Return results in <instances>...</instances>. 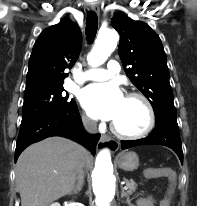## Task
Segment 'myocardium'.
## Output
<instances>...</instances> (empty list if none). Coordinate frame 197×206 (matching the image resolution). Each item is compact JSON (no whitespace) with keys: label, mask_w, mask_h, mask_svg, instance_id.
<instances>
[{"label":"myocardium","mask_w":197,"mask_h":206,"mask_svg":"<svg viewBox=\"0 0 197 206\" xmlns=\"http://www.w3.org/2000/svg\"><path fill=\"white\" fill-rule=\"evenodd\" d=\"M126 98L137 99V100L141 101V103L144 105V107L146 109L147 123H146L144 129H142L139 132H135V133L123 132L120 129H118L114 123H112L111 124V131L116 136H118L120 138H124V139H139V138L145 137L146 135H148L152 131V129L155 125V112H154V108L152 106V103L145 95H143L139 92H129L126 95Z\"/></svg>","instance_id":"f54148a6"}]
</instances>
